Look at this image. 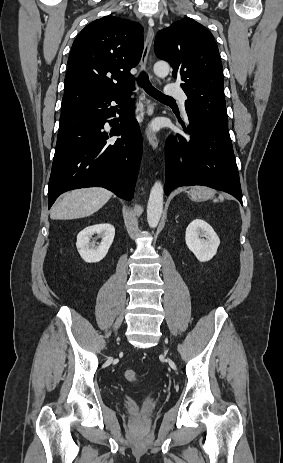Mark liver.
Segmentation results:
<instances>
[{
	"label": "liver",
	"instance_id": "obj_1",
	"mask_svg": "<svg viewBox=\"0 0 283 463\" xmlns=\"http://www.w3.org/2000/svg\"><path fill=\"white\" fill-rule=\"evenodd\" d=\"M112 192L99 187L72 190L63 195L50 211L53 220H71L92 215L111 198Z\"/></svg>",
	"mask_w": 283,
	"mask_h": 463
}]
</instances>
